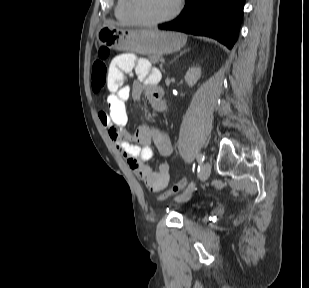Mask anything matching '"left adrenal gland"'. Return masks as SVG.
<instances>
[{"instance_id":"a2214340","label":"left adrenal gland","mask_w":309,"mask_h":288,"mask_svg":"<svg viewBox=\"0 0 309 288\" xmlns=\"http://www.w3.org/2000/svg\"><path fill=\"white\" fill-rule=\"evenodd\" d=\"M187 51H189V49H185L184 51H182V52L179 54V56L183 55V54L186 53ZM179 56H177V57H179ZM177 57H176V58H177Z\"/></svg>"}]
</instances>
